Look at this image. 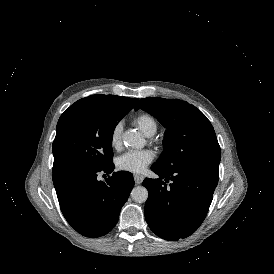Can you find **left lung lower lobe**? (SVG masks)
Returning <instances> with one entry per match:
<instances>
[{
	"label": "left lung lower lobe",
	"instance_id": "1",
	"mask_svg": "<svg viewBox=\"0 0 274 274\" xmlns=\"http://www.w3.org/2000/svg\"><path fill=\"white\" fill-rule=\"evenodd\" d=\"M151 170L159 178L143 181L149 192L144 214L150 229L165 240L188 237L206 217L219 169L206 165L165 169L153 164Z\"/></svg>",
	"mask_w": 274,
	"mask_h": 274
}]
</instances>
